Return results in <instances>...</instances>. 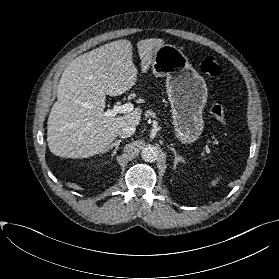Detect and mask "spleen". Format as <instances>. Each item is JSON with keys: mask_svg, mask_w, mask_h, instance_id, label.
I'll return each instance as SVG.
<instances>
[{"mask_svg": "<svg viewBox=\"0 0 279 279\" xmlns=\"http://www.w3.org/2000/svg\"><path fill=\"white\" fill-rule=\"evenodd\" d=\"M216 183V181H214L212 184L214 185Z\"/></svg>", "mask_w": 279, "mask_h": 279, "instance_id": "spleen-1", "label": "spleen"}]
</instances>
